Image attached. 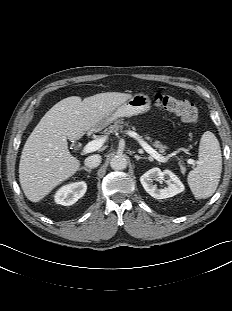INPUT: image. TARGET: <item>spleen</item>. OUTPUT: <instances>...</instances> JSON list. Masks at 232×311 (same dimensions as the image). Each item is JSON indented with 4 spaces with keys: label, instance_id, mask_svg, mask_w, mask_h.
<instances>
[{
    "label": "spleen",
    "instance_id": "3e777b00",
    "mask_svg": "<svg viewBox=\"0 0 232 311\" xmlns=\"http://www.w3.org/2000/svg\"><path fill=\"white\" fill-rule=\"evenodd\" d=\"M222 172V154L216 136L206 131L200 140L198 165L189 172L188 184L196 199L212 196Z\"/></svg>",
    "mask_w": 232,
    "mask_h": 311
}]
</instances>
